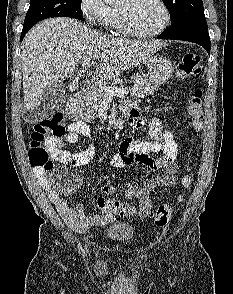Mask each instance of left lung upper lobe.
<instances>
[{"mask_svg": "<svg viewBox=\"0 0 233 294\" xmlns=\"http://www.w3.org/2000/svg\"><path fill=\"white\" fill-rule=\"evenodd\" d=\"M167 6L171 27L169 30L191 25H207L202 0H162Z\"/></svg>", "mask_w": 233, "mask_h": 294, "instance_id": "left-lung-upper-lobe-1", "label": "left lung upper lobe"}]
</instances>
